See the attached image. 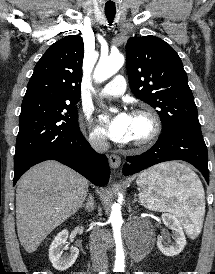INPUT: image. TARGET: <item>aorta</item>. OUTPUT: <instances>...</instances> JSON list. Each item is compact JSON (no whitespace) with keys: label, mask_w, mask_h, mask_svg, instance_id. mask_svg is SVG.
<instances>
[{"label":"aorta","mask_w":215,"mask_h":274,"mask_svg":"<svg viewBox=\"0 0 215 274\" xmlns=\"http://www.w3.org/2000/svg\"><path fill=\"white\" fill-rule=\"evenodd\" d=\"M124 64V56L120 53L111 54L106 58H100L95 71L94 77L97 81L102 82L114 75ZM110 221L114 228V241L116 246L115 271L123 272L125 268V255L123 241L121 238L120 227L122 224L121 207L119 204H113Z\"/></svg>","instance_id":"1"}]
</instances>
